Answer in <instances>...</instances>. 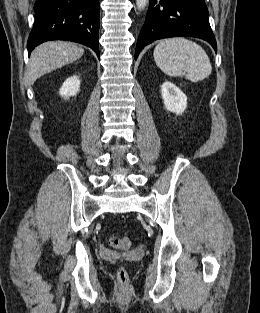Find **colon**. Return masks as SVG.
I'll return each mask as SVG.
<instances>
[{
    "mask_svg": "<svg viewBox=\"0 0 260 313\" xmlns=\"http://www.w3.org/2000/svg\"><path fill=\"white\" fill-rule=\"evenodd\" d=\"M109 242L112 246L119 249H128L130 247V240L128 237L110 236ZM119 281L124 284L127 281V271L124 267H120L117 272Z\"/></svg>",
    "mask_w": 260,
    "mask_h": 313,
    "instance_id": "1",
    "label": "colon"
}]
</instances>
